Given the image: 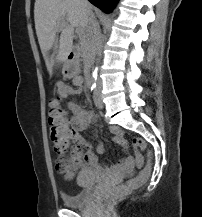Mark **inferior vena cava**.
Masks as SVG:
<instances>
[{
	"instance_id": "inferior-vena-cava-1",
	"label": "inferior vena cava",
	"mask_w": 202,
	"mask_h": 217,
	"mask_svg": "<svg viewBox=\"0 0 202 217\" xmlns=\"http://www.w3.org/2000/svg\"><path fill=\"white\" fill-rule=\"evenodd\" d=\"M80 1L82 5L85 7V11L87 14V32L91 36L92 45L98 56V62H99L102 57V48H103L100 26L92 12L91 7L89 6L88 0H80ZM98 83H100L99 80Z\"/></svg>"
}]
</instances>
